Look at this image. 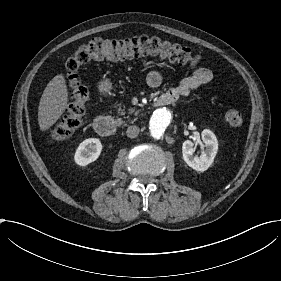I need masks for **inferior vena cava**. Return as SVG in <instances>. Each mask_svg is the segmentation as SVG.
<instances>
[{
    "label": "inferior vena cava",
    "instance_id": "1",
    "mask_svg": "<svg viewBox=\"0 0 281 281\" xmlns=\"http://www.w3.org/2000/svg\"><path fill=\"white\" fill-rule=\"evenodd\" d=\"M139 134V127L138 126H130L126 130V135L129 138H135Z\"/></svg>",
    "mask_w": 281,
    "mask_h": 281
}]
</instances>
